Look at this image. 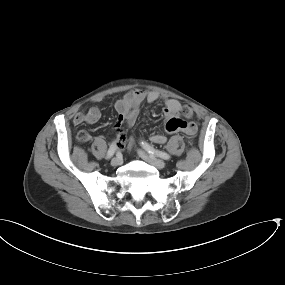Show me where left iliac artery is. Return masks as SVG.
Wrapping results in <instances>:
<instances>
[{"instance_id": "left-iliac-artery-1", "label": "left iliac artery", "mask_w": 285, "mask_h": 285, "mask_svg": "<svg viewBox=\"0 0 285 285\" xmlns=\"http://www.w3.org/2000/svg\"><path fill=\"white\" fill-rule=\"evenodd\" d=\"M141 145L149 154L156 155L164 160H169L171 158L168 153L157 150L146 142H141Z\"/></svg>"}]
</instances>
